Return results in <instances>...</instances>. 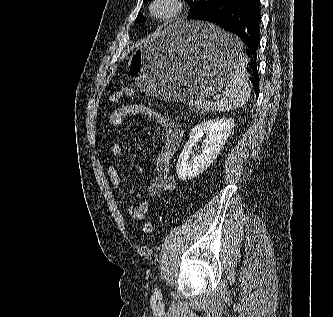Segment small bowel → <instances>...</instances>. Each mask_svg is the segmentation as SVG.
I'll return each instance as SVG.
<instances>
[{
    "label": "small bowel",
    "mask_w": 333,
    "mask_h": 317,
    "mask_svg": "<svg viewBox=\"0 0 333 317\" xmlns=\"http://www.w3.org/2000/svg\"><path fill=\"white\" fill-rule=\"evenodd\" d=\"M136 115H144L153 119L162 127L165 133L162 150L154 164L156 176L147 189V193L151 198H157L175 189L176 182L174 177L170 174L169 168L172 157L181 143L182 130L179 125L166 115L150 107L138 104L123 105L116 108L109 114L107 121L111 126H120L126 118ZM110 152L115 158H121L123 156V148L119 144H113L110 148ZM107 175L115 189L121 193L122 201L127 208L129 217L137 221L144 220L151 210V203L141 201L137 205L130 204L125 195L122 179L116 167L108 165Z\"/></svg>",
    "instance_id": "1"
}]
</instances>
